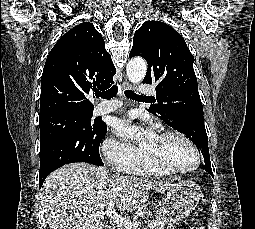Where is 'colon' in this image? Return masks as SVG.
Wrapping results in <instances>:
<instances>
[{"label":"colon","instance_id":"5ec220e1","mask_svg":"<svg viewBox=\"0 0 255 229\" xmlns=\"http://www.w3.org/2000/svg\"><path fill=\"white\" fill-rule=\"evenodd\" d=\"M177 229H189L188 225L182 223Z\"/></svg>","mask_w":255,"mask_h":229}]
</instances>
